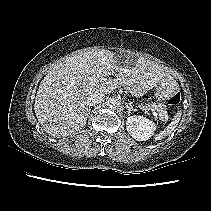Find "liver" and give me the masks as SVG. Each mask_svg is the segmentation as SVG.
<instances>
[{
	"mask_svg": "<svg viewBox=\"0 0 211 211\" xmlns=\"http://www.w3.org/2000/svg\"><path fill=\"white\" fill-rule=\"evenodd\" d=\"M116 73V79H107ZM105 80H102V79ZM173 80L161 65L143 57L123 67L109 50H93L67 58L41 81L34 102L35 115L46 133L66 137L80 131L89 116L88 97L124 87L143 95L158 84Z\"/></svg>",
	"mask_w": 211,
	"mask_h": 211,
	"instance_id": "1",
	"label": "liver"
}]
</instances>
